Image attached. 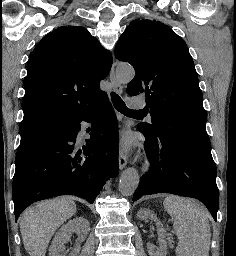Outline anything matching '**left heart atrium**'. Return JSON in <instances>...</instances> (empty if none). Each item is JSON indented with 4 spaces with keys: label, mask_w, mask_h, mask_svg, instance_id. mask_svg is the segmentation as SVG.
<instances>
[{
    "label": "left heart atrium",
    "mask_w": 236,
    "mask_h": 256,
    "mask_svg": "<svg viewBox=\"0 0 236 256\" xmlns=\"http://www.w3.org/2000/svg\"><path fill=\"white\" fill-rule=\"evenodd\" d=\"M131 146V137L129 134L123 136L121 140V148L124 151H127Z\"/></svg>",
    "instance_id": "39dd6f15"
}]
</instances>
